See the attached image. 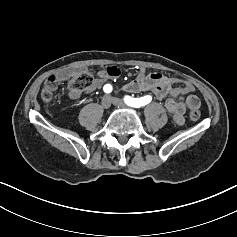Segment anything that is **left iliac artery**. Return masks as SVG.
<instances>
[{
    "label": "left iliac artery",
    "mask_w": 237,
    "mask_h": 237,
    "mask_svg": "<svg viewBox=\"0 0 237 237\" xmlns=\"http://www.w3.org/2000/svg\"><path fill=\"white\" fill-rule=\"evenodd\" d=\"M152 100V97L147 95L141 98H132L130 96H125L124 101L128 106L134 107V108H140L142 106H145L146 104L150 103Z\"/></svg>",
    "instance_id": "left-iliac-artery-1"
}]
</instances>
